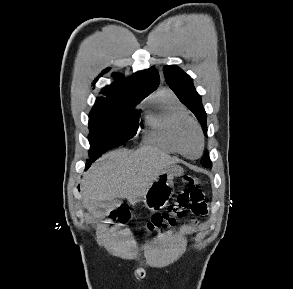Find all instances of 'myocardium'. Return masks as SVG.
I'll return each instance as SVG.
<instances>
[{
	"label": "myocardium",
	"mask_w": 293,
	"mask_h": 289,
	"mask_svg": "<svg viewBox=\"0 0 293 289\" xmlns=\"http://www.w3.org/2000/svg\"><path fill=\"white\" fill-rule=\"evenodd\" d=\"M189 126H192L196 130V132L198 134L199 142H200L199 152L195 156L189 155L184 150L183 143H182V135H183L185 129ZM173 141L176 145L178 153L186 158H189V159L199 158L204 150V136H203L202 129H201L200 125L197 123V121H195L191 117H186V118L180 119L177 122V124L175 126L174 133H173Z\"/></svg>",
	"instance_id": "myocardium-1"
}]
</instances>
